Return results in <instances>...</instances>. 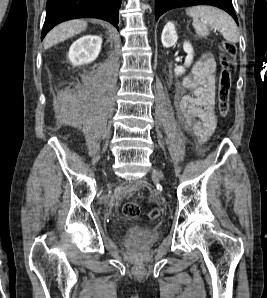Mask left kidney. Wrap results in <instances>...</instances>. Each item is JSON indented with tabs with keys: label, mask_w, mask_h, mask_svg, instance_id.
<instances>
[{
	"label": "left kidney",
	"mask_w": 267,
	"mask_h": 298,
	"mask_svg": "<svg viewBox=\"0 0 267 298\" xmlns=\"http://www.w3.org/2000/svg\"><path fill=\"white\" fill-rule=\"evenodd\" d=\"M178 39L175 25L172 22H169L165 25L162 35H161V41L164 47L169 48L176 44ZM183 49L187 53V56L185 58L184 67L178 66L174 69V72L176 76H180L185 73V67H189L193 61V47L192 45L185 41L183 44Z\"/></svg>",
	"instance_id": "5707ae66"
}]
</instances>
